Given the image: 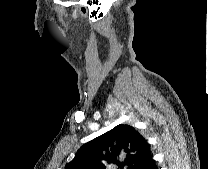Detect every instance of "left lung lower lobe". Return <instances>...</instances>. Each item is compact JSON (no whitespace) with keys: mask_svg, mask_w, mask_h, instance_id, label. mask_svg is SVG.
Wrapping results in <instances>:
<instances>
[{"mask_svg":"<svg viewBox=\"0 0 208 169\" xmlns=\"http://www.w3.org/2000/svg\"><path fill=\"white\" fill-rule=\"evenodd\" d=\"M140 169H157L155 161L152 158L151 151L144 158Z\"/></svg>","mask_w":208,"mask_h":169,"instance_id":"1","label":"left lung lower lobe"}]
</instances>
